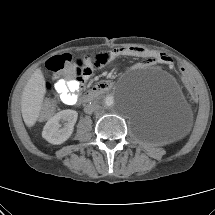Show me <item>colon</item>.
Instances as JSON below:
<instances>
[{
  "instance_id": "5ec220e1",
  "label": "colon",
  "mask_w": 215,
  "mask_h": 215,
  "mask_svg": "<svg viewBox=\"0 0 215 215\" xmlns=\"http://www.w3.org/2000/svg\"><path fill=\"white\" fill-rule=\"evenodd\" d=\"M46 67L54 73L60 72L63 75L64 80L67 82L75 79L86 69L84 63L72 61V56L70 54H62L51 57L46 61ZM176 71L184 87L185 93L188 95L195 94L197 92V87L193 78L188 74L186 66L180 64L177 66ZM54 108V101L48 97L43 107L42 115H50Z\"/></svg>"
}]
</instances>
